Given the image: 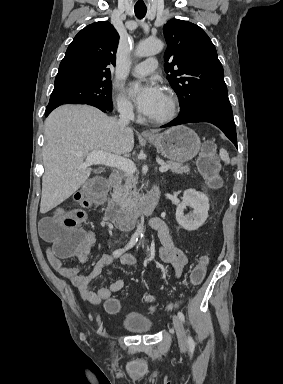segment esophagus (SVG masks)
Instances as JSON below:
<instances>
[{"instance_id":"1","label":"esophagus","mask_w":283,"mask_h":384,"mask_svg":"<svg viewBox=\"0 0 283 384\" xmlns=\"http://www.w3.org/2000/svg\"><path fill=\"white\" fill-rule=\"evenodd\" d=\"M142 135H143L144 137H150V136H153L154 133L151 132V131L145 130V131L142 132Z\"/></svg>"}]
</instances>
